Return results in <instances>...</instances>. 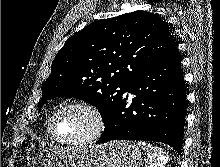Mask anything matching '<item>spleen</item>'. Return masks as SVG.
Listing matches in <instances>:
<instances>
[{
    "label": "spleen",
    "mask_w": 220,
    "mask_h": 167,
    "mask_svg": "<svg viewBox=\"0 0 220 167\" xmlns=\"http://www.w3.org/2000/svg\"><path fill=\"white\" fill-rule=\"evenodd\" d=\"M137 144L147 153L145 167H164L165 162L169 158V155L166 151H164L162 148L142 141H139Z\"/></svg>",
    "instance_id": "obj_1"
}]
</instances>
